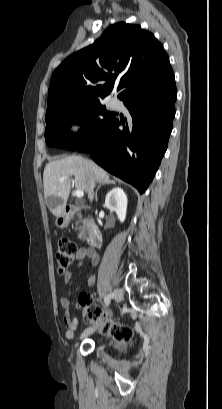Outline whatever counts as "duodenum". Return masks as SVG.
<instances>
[{"label": "duodenum", "mask_w": 222, "mask_h": 409, "mask_svg": "<svg viewBox=\"0 0 222 409\" xmlns=\"http://www.w3.org/2000/svg\"><path fill=\"white\" fill-rule=\"evenodd\" d=\"M81 209H85L87 211L90 210L88 206H76V205H68L66 206L65 214L70 217L76 212ZM103 238L100 231V228L96 223L92 220L89 222V230H88V244L91 248L98 249L102 246Z\"/></svg>", "instance_id": "duodenum-1"}]
</instances>
